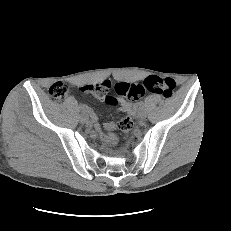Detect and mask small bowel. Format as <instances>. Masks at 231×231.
<instances>
[{"instance_id":"small-bowel-1","label":"small bowel","mask_w":231,"mask_h":231,"mask_svg":"<svg viewBox=\"0 0 231 231\" xmlns=\"http://www.w3.org/2000/svg\"><path fill=\"white\" fill-rule=\"evenodd\" d=\"M99 84H101V83H98V84H85V85L80 86V90L83 91V92H87V93H93V94H96L99 97H102L103 95L97 89V87H98ZM106 101L108 103H110V104H116V103L119 104L121 110L124 111V112H126V113H128V114H131V115L135 114V105H133L132 103H130L128 101H125V100H122V99H118V98H115V103H112V102H110L108 100H106ZM115 127H116V124L113 123V122L107 123L104 126V131L102 132V138L106 142L111 143V144H114V143L117 142V137L112 132V130ZM97 128H99L98 125H97Z\"/></svg>"}]
</instances>
